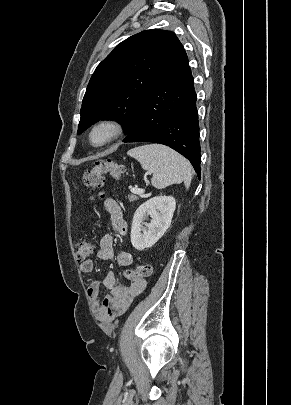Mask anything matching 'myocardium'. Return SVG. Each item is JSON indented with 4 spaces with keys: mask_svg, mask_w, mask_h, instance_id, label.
Returning a JSON list of instances; mask_svg holds the SVG:
<instances>
[{
    "mask_svg": "<svg viewBox=\"0 0 291 405\" xmlns=\"http://www.w3.org/2000/svg\"><path fill=\"white\" fill-rule=\"evenodd\" d=\"M104 131L105 137L99 141H94V135L98 131ZM124 131L123 123L114 117H105L95 122L88 133V141L95 148L105 147L115 141Z\"/></svg>",
    "mask_w": 291,
    "mask_h": 405,
    "instance_id": "myocardium-1",
    "label": "myocardium"
}]
</instances>
